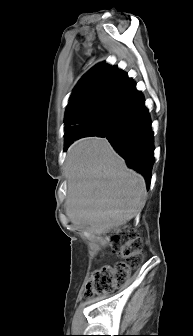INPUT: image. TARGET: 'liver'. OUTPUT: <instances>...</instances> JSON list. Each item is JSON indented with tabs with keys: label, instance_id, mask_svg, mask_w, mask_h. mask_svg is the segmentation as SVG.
Listing matches in <instances>:
<instances>
[{
	"label": "liver",
	"instance_id": "liver-1",
	"mask_svg": "<svg viewBox=\"0 0 193 336\" xmlns=\"http://www.w3.org/2000/svg\"><path fill=\"white\" fill-rule=\"evenodd\" d=\"M66 215L95 234L108 233L134 218L146 202V183L129 169L105 138L88 137L67 151Z\"/></svg>",
	"mask_w": 193,
	"mask_h": 336
}]
</instances>
